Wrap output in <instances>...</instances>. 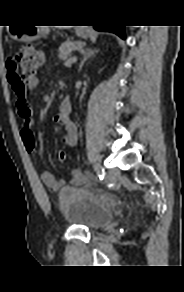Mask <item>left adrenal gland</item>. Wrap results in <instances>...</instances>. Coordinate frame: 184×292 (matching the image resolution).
Segmentation results:
<instances>
[{
	"label": "left adrenal gland",
	"instance_id": "1",
	"mask_svg": "<svg viewBox=\"0 0 184 292\" xmlns=\"http://www.w3.org/2000/svg\"><path fill=\"white\" fill-rule=\"evenodd\" d=\"M96 53H98V50H97V49H88V50L84 53V55H83V59L81 60V63H80V65H79V72L82 70V67H83L85 61H86L87 59H89L90 57H94Z\"/></svg>",
	"mask_w": 184,
	"mask_h": 292
}]
</instances>
